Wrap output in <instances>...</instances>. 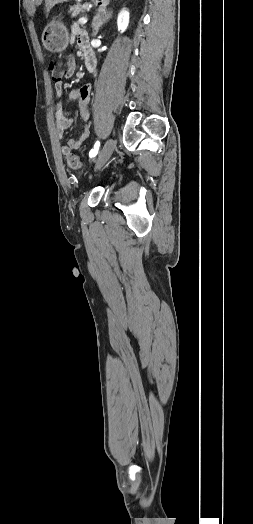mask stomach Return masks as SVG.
Here are the masks:
<instances>
[{
	"label": "stomach",
	"instance_id": "obj_1",
	"mask_svg": "<svg viewBox=\"0 0 253 524\" xmlns=\"http://www.w3.org/2000/svg\"><path fill=\"white\" fill-rule=\"evenodd\" d=\"M95 5L105 6L104 0H92ZM44 47L50 52H62L69 43V34L65 25L58 21H51L44 29L42 34Z\"/></svg>",
	"mask_w": 253,
	"mask_h": 524
}]
</instances>
